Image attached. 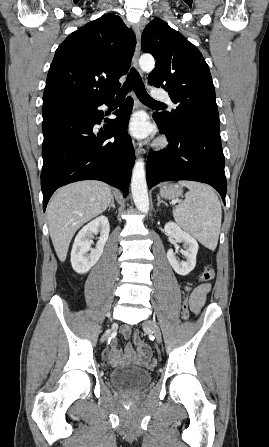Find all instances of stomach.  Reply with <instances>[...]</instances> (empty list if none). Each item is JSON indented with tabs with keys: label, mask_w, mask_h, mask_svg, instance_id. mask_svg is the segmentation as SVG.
Returning a JSON list of instances; mask_svg holds the SVG:
<instances>
[{
	"label": "stomach",
	"mask_w": 269,
	"mask_h": 447,
	"mask_svg": "<svg viewBox=\"0 0 269 447\" xmlns=\"http://www.w3.org/2000/svg\"><path fill=\"white\" fill-rule=\"evenodd\" d=\"M160 194L162 198H167V200H176V198L182 196V188L177 184H161Z\"/></svg>",
	"instance_id": "stomach-1"
}]
</instances>
